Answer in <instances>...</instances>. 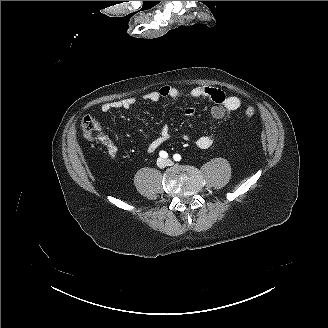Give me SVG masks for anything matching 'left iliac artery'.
<instances>
[{
    "instance_id": "left-iliac-artery-1",
    "label": "left iliac artery",
    "mask_w": 328,
    "mask_h": 328,
    "mask_svg": "<svg viewBox=\"0 0 328 328\" xmlns=\"http://www.w3.org/2000/svg\"><path fill=\"white\" fill-rule=\"evenodd\" d=\"M175 161H180L181 160V156L179 154H174L173 156Z\"/></svg>"
}]
</instances>
